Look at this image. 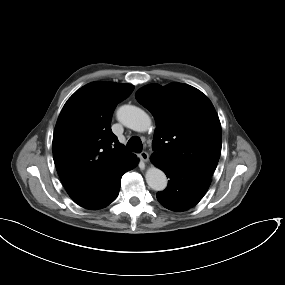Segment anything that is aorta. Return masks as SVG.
<instances>
[{
	"label": "aorta",
	"mask_w": 285,
	"mask_h": 285,
	"mask_svg": "<svg viewBox=\"0 0 285 285\" xmlns=\"http://www.w3.org/2000/svg\"><path fill=\"white\" fill-rule=\"evenodd\" d=\"M117 119L124 126L137 131L145 132L151 126L149 115L133 105H123L117 111ZM146 182L155 191H162L167 187L165 173L157 167H150L145 173Z\"/></svg>",
	"instance_id": "1"
}]
</instances>
